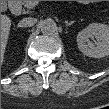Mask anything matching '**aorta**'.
I'll list each match as a JSON object with an SVG mask.
<instances>
[{
  "label": "aorta",
  "mask_w": 109,
  "mask_h": 109,
  "mask_svg": "<svg viewBox=\"0 0 109 109\" xmlns=\"http://www.w3.org/2000/svg\"><path fill=\"white\" fill-rule=\"evenodd\" d=\"M40 30L45 35H51L56 32V23L51 19H45L39 24Z\"/></svg>",
  "instance_id": "762f6f07"
}]
</instances>
